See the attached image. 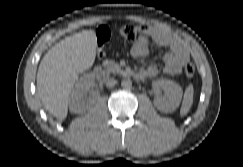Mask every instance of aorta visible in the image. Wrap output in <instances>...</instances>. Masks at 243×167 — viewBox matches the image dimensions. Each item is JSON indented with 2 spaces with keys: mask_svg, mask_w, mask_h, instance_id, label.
I'll return each mask as SVG.
<instances>
[{
  "mask_svg": "<svg viewBox=\"0 0 243 167\" xmlns=\"http://www.w3.org/2000/svg\"><path fill=\"white\" fill-rule=\"evenodd\" d=\"M121 87L123 89H130L132 87V81L130 79H123L121 82Z\"/></svg>",
  "mask_w": 243,
  "mask_h": 167,
  "instance_id": "obj_1",
  "label": "aorta"
}]
</instances>
